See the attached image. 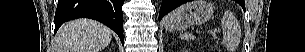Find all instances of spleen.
<instances>
[{
	"mask_svg": "<svg viewBox=\"0 0 305 52\" xmlns=\"http://www.w3.org/2000/svg\"><path fill=\"white\" fill-rule=\"evenodd\" d=\"M236 21L234 16L230 12H225L222 19H221V27L223 30V40L222 45L226 47L227 50H234V42L230 38V30L232 27H235ZM182 39L186 40H194L195 37L189 33H184L181 36Z\"/></svg>",
	"mask_w": 305,
	"mask_h": 52,
	"instance_id": "obj_1",
	"label": "spleen"
}]
</instances>
